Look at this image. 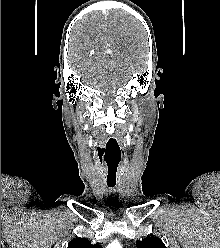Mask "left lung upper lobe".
<instances>
[{
  "label": "left lung upper lobe",
  "mask_w": 220,
  "mask_h": 248,
  "mask_svg": "<svg viewBox=\"0 0 220 248\" xmlns=\"http://www.w3.org/2000/svg\"><path fill=\"white\" fill-rule=\"evenodd\" d=\"M138 248H166L162 240L156 237H147L142 241H137Z\"/></svg>",
  "instance_id": "1"
}]
</instances>
